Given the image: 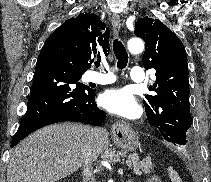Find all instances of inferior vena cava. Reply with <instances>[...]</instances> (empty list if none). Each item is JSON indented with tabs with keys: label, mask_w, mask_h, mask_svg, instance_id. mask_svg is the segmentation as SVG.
I'll return each mask as SVG.
<instances>
[{
	"label": "inferior vena cava",
	"mask_w": 211,
	"mask_h": 182,
	"mask_svg": "<svg viewBox=\"0 0 211 182\" xmlns=\"http://www.w3.org/2000/svg\"><path fill=\"white\" fill-rule=\"evenodd\" d=\"M97 130L92 129L90 132L89 141L87 143L86 149H85V158H84V176L85 180L84 182H92L93 176L92 171L90 170L91 164L97 159V154L93 152V142H94V135L96 134Z\"/></svg>",
	"instance_id": "obj_1"
}]
</instances>
